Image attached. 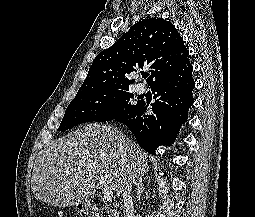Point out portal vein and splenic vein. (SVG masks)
I'll return each mask as SVG.
<instances>
[{"label":"portal vein and splenic vein","instance_id":"1","mask_svg":"<svg viewBox=\"0 0 255 217\" xmlns=\"http://www.w3.org/2000/svg\"><path fill=\"white\" fill-rule=\"evenodd\" d=\"M66 174H70L69 172H66ZM96 180L99 182V184L101 186L104 187L103 189V194H104V198L106 200H112L113 198V190L111 187H109L106 183V180L103 177H97Z\"/></svg>","mask_w":255,"mask_h":217}]
</instances>
